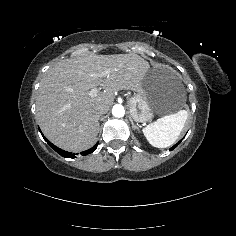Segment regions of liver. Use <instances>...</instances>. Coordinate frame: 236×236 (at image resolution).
<instances>
[{
    "mask_svg": "<svg viewBox=\"0 0 236 236\" xmlns=\"http://www.w3.org/2000/svg\"><path fill=\"white\" fill-rule=\"evenodd\" d=\"M150 68L141 56L84 53L49 68L38 89L36 121L43 134L61 149L91 148L99 132L96 109L107 113L118 90L136 91ZM109 69L111 72L102 76ZM100 87L96 96L89 90Z\"/></svg>",
    "mask_w": 236,
    "mask_h": 236,
    "instance_id": "liver-1",
    "label": "liver"
}]
</instances>
